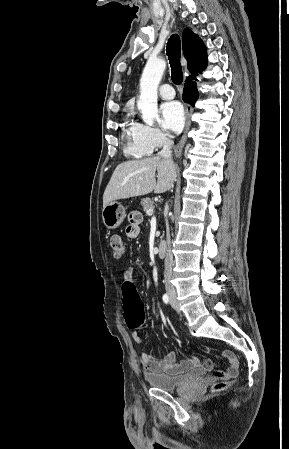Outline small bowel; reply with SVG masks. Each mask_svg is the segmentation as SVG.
<instances>
[{
	"instance_id": "c3829d8e",
	"label": "small bowel",
	"mask_w": 289,
	"mask_h": 449,
	"mask_svg": "<svg viewBox=\"0 0 289 449\" xmlns=\"http://www.w3.org/2000/svg\"><path fill=\"white\" fill-rule=\"evenodd\" d=\"M128 222L129 224L126 227V235L130 239H135L138 237L140 232L141 215L135 212L130 213L128 216ZM128 279L132 282L135 281L134 271L132 268H128L123 274V282ZM150 284L151 283L149 282L148 285ZM132 337L140 347L144 346V341L137 330H133ZM140 357L142 366L148 374L164 373L167 375H178L195 368H201L207 371L213 370L214 368V363L212 360H205L201 363L196 357L177 363L175 353L173 352L160 359H155L150 354L142 350ZM222 357L227 361L228 367L224 370H214V376L225 380L235 378L238 374L240 365L237 356L234 352L225 350L222 353Z\"/></svg>"
}]
</instances>
